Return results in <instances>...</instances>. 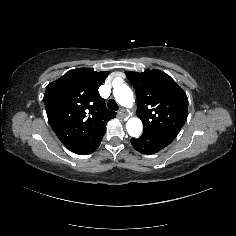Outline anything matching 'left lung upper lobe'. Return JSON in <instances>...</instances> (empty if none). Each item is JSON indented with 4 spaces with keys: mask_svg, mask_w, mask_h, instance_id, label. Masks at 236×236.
I'll return each instance as SVG.
<instances>
[{
    "mask_svg": "<svg viewBox=\"0 0 236 236\" xmlns=\"http://www.w3.org/2000/svg\"><path fill=\"white\" fill-rule=\"evenodd\" d=\"M125 73L136 91V113L143 122V132L176 137L188 115V98L183 89L157 69Z\"/></svg>",
    "mask_w": 236,
    "mask_h": 236,
    "instance_id": "5c2ea615",
    "label": "left lung upper lobe"
}]
</instances>
